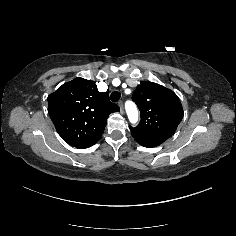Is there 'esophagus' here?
Masks as SVG:
<instances>
[{"label":"esophagus","instance_id":"esophagus-1","mask_svg":"<svg viewBox=\"0 0 236 236\" xmlns=\"http://www.w3.org/2000/svg\"><path fill=\"white\" fill-rule=\"evenodd\" d=\"M119 108H120V112L123 113L124 108H123V102L122 101H119Z\"/></svg>","mask_w":236,"mask_h":236}]
</instances>
